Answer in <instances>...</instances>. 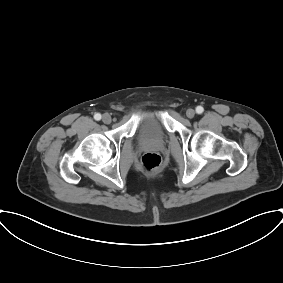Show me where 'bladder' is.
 I'll use <instances>...</instances> for the list:
<instances>
[{
    "mask_svg": "<svg viewBox=\"0 0 283 283\" xmlns=\"http://www.w3.org/2000/svg\"><path fill=\"white\" fill-rule=\"evenodd\" d=\"M138 138L145 143H160L167 135L164 117L159 112L145 111L140 115Z\"/></svg>",
    "mask_w": 283,
    "mask_h": 283,
    "instance_id": "bladder-1",
    "label": "bladder"
}]
</instances>
